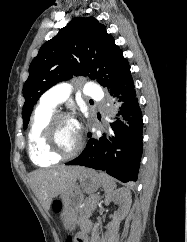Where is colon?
Returning <instances> with one entry per match:
<instances>
[{
  "instance_id": "colon-1",
  "label": "colon",
  "mask_w": 187,
  "mask_h": 242,
  "mask_svg": "<svg viewBox=\"0 0 187 242\" xmlns=\"http://www.w3.org/2000/svg\"><path fill=\"white\" fill-rule=\"evenodd\" d=\"M54 209H55V211L60 210V204L58 202H56L54 204ZM66 242H78V240H77V238L69 237Z\"/></svg>"
}]
</instances>
